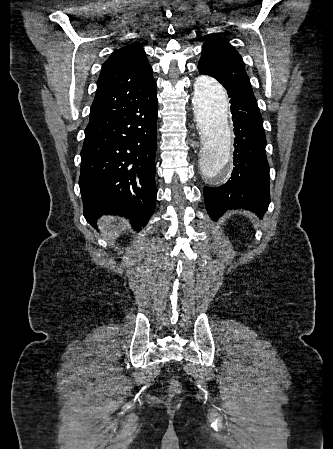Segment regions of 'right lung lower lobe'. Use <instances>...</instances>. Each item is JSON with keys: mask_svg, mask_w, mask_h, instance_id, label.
<instances>
[{"mask_svg": "<svg viewBox=\"0 0 333 449\" xmlns=\"http://www.w3.org/2000/svg\"><path fill=\"white\" fill-rule=\"evenodd\" d=\"M157 93L152 89L125 108L89 121L81 151L79 186L84 217L126 216L136 230L155 209Z\"/></svg>", "mask_w": 333, "mask_h": 449, "instance_id": "98d812e1", "label": "right lung lower lobe"}]
</instances>
